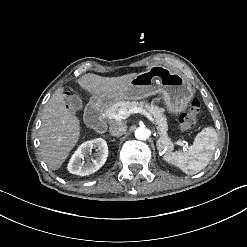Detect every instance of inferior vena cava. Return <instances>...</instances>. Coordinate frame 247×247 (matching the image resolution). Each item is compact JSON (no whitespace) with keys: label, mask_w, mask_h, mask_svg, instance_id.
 <instances>
[{"label":"inferior vena cava","mask_w":247,"mask_h":247,"mask_svg":"<svg viewBox=\"0 0 247 247\" xmlns=\"http://www.w3.org/2000/svg\"><path fill=\"white\" fill-rule=\"evenodd\" d=\"M127 130V126L122 122H113L109 127V133L112 136H121Z\"/></svg>","instance_id":"1"}]
</instances>
